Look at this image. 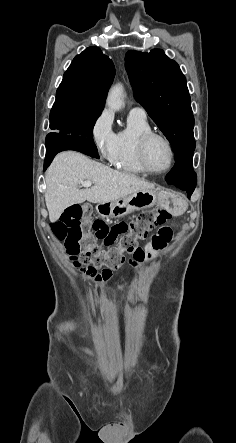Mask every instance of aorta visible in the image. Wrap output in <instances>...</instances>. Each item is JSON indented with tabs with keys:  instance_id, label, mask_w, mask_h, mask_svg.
Segmentation results:
<instances>
[{
	"instance_id": "obj_1",
	"label": "aorta",
	"mask_w": 236,
	"mask_h": 443,
	"mask_svg": "<svg viewBox=\"0 0 236 443\" xmlns=\"http://www.w3.org/2000/svg\"><path fill=\"white\" fill-rule=\"evenodd\" d=\"M123 92L124 89L121 84H117L110 89L106 101L109 109L119 111L124 106Z\"/></svg>"
}]
</instances>
